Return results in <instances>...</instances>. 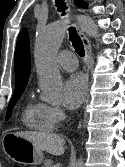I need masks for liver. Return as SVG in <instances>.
<instances>
[{
	"label": "liver",
	"mask_w": 125,
	"mask_h": 167,
	"mask_svg": "<svg viewBox=\"0 0 125 167\" xmlns=\"http://www.w3.org/2000/svg\"><path fill=\"white\" fill-rule=\"evenodd\" d=\"M15 135L32 142L41 151H46L56 156L64 154L65 141L60 135L31 131L16 132Z\"/></svg>",
	"instance_id": "6515ba94"
}]
</instances>
